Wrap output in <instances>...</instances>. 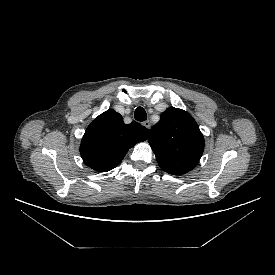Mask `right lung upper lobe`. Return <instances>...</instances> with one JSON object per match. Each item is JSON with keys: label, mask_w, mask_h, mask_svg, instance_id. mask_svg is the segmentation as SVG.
<instances>
[{"label": "right lung upper lobe", "mask_w": 275, "mask_h": 275, "mask_svg": "<svg viewBox=\"0 0 275 275\" xmlns=\"http://www.w3.org/2000/svg\"><path fill=\"white\" fill-rule=\"evenodd\" d=\"M149 132L137 122L124 124L123 117L109 109L86 129L80 145L81 157L95 171L107 172L119 165L131 147L145 141Z\"/></svg>", "instance_id": "1"}]
</instances>
